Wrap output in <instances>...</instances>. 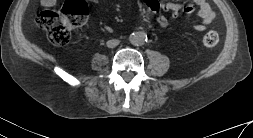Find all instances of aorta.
Returning <instances> with one entry per match:
<instances>
[{
  "label": "aorta",
  "mask_w": 253,
  "mask_h": 138,
  "mask_svg": "<svg viewBox=\"0 0 253 138\" xmlns=\"http://www.w3.org/2000/svg\"><path fill=\"white\" fill-rule=\"evenodd\" d=\"M129 40L133 45L141 46L146 43L147 35L144 32L138 31L132 33L129 37Z\"/></svg>",
  "instance_id": "aorta-1"
}]
</instances>
